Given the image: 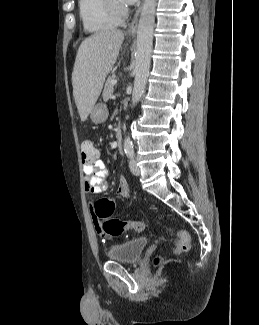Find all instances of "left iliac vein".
<instances>
[{"mask_svg": "<svg viewBox=\"0 0 259 325\" xmlns=\"http://www.w3.org/2000/svg\"><path fill=\"white\" fill-rule=\"evenodd\" d=\"M129 167H130L132 174H134L136 176L140 175V173H141L140 168L138 167L136 160L134 158H132L130 160Z\"/></svg>", "mask_w": 259, "mask_h": 325, "instance_id": "left-iliac-vein-1", "label": "left iliac vein"}]
</instances>
